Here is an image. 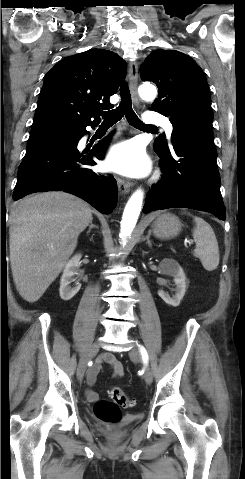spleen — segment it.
Returning a JSON list of instances; mask_svg holds the SVG:
<instances>
[{"label": "spleen", "instance_id": "spleen-1", "mask_svg": "<svg viewBox=\"0 0 245 479\" xmlns=\"http://www.w3.org/2000/svg\"><path fill=\"white\" fill-rule=\"evenodd\" d=\"M195 227L193 238L196 248L193 255L200 259L207 271H213L219 265L220 255L218 242L212 227L203 219L194 216Z\"/></svg>", "mask_w": 245, "mask_h": 479}]
</instances>
